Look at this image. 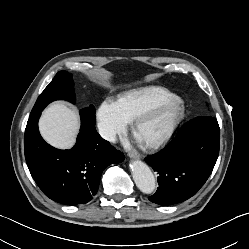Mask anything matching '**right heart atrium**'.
<instances>
[{
	"label": "right heart atrium",
	"instance_id": "d8ad5b80",
	"mask_svg": "<svg viewBox=\"0 0 249 249\" xmlns=\"http://www.w3.org/2000/svg\"><path fill=\"white\" fill-rule=\"evenodd\" d=\"M96 118L101 136L109 142L115 141L129 125V120L120 110L117 101L111 98L103 101L97 110Z\"/></svg>",
	"mask_w": 249,
	"mask_h": 249
}]
</instances>
